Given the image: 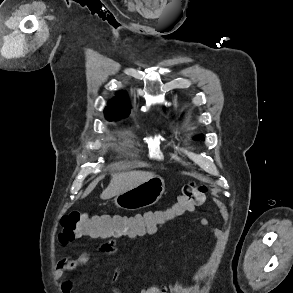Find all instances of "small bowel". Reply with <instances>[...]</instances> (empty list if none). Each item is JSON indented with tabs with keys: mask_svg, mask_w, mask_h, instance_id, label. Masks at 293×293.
<instances>
[{
	"mask_svg": "<svg viewBox=\"0 0 293 293\" xmlns=\"http://www.w3.org/2000/svg\"><path fill=\"white\" fill-rule=\"evenodd\" d=\"M149 215H151V212H147V213L140 215V216L147 217ZM200 223H201V225L209 228V234H208V237H207L206 242H205L203 249H202L203 251H205L211 245V243H213L214 241H217L221 238L222 232L219 228L212 226L210 219H208L206 217H203L200 220ZM159 227L160 226L152 227L150 229L142 230L140 232H135V233H128V234L111 236L109 238H106L105 241L99 245L98 251L102 254L114 255L118 252L117 239H119L121 237L138 238V237L150 236V235L155 234ZM90 260H91L90 254L87 252H83L75 258H65V259H62L58 263L57 268L54 273V277L56 280L61 281V289H62L63 293H73L74 292V284H73V280L70 276V272L76 270L77 268H79L81 266L88 264L90 262ZM118 276H119V274L116 273L113 276V280L114 281L117 280ZM199 277H200V274L194 275L190 279V283L187 285L180 283V282H175V283H172L168 286H163L161 288H158V287H149V288L155 289L156 293H168V292H170V293H191L193 290H195L197 288L195 282ZM111 292L112 293H122V291L117 288L112 289ZM142 293H149V292H147V290L145 289V290H143Z\"/></svg>",
	"mask_w": 293,
	"mask_h": 293,
	"instance_id": "1",
	"label": "small bowel"
}]
</instances>
